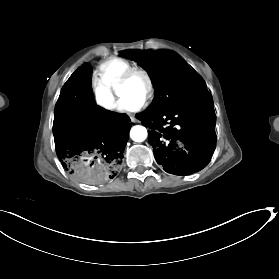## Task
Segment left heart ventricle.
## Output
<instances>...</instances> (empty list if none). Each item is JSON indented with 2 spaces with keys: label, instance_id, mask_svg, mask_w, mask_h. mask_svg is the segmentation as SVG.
I'll return each mask as SVG.
<instances>
[{
  "label": "left heart ventricle",
  "instance_id": "left-heart-ventricle-1",
  "mask_svg": "<svg viewBox=\"0 0 279 279\" xmlns=\"http://www.w3.org/2000/svg\"><path fill=\"white\" fill-rule=\"evenodd\" d=\"M146 94V83L143 78L135 77L128 85L122 88L120 97L129 100H144Z\"/></svg>",
  "mask_w": 279,
  "mask_h": 279
}]
</instances>
